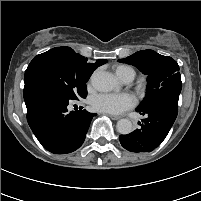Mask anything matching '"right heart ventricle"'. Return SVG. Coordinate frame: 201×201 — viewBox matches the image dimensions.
<instances>
[{"label":"right heart ventricle","mask_w":201,"mask_h":201,"mask_svg":"<svg viewBox=\"0 0 201 201\" xmlns=\"http://www.w3.org/2000/svg\"><path fill=\"white\" fill-rule=\"evenodd\" d=\"M116 75L121 79L125 80L127 78H132V80L135 77V70L127 65H119L115 69Z\"/></svg>","instance_id":"right-heart-ventricle-1"}]
</instances>
